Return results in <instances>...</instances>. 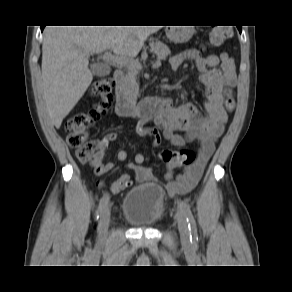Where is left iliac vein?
Masks as SVG:
<instances>
[{
	"instance_id": "4c4485c4",
	"label": "left iliac vein",
	"mask_w": 292,
	"mask_h": 292,
	"mask_svg": "<svg viewBox=\"0 0 292 292\" xmlns=\"http://www.w3.org/2000/svg\"><path fill=\"white\" fill-rule=\"evenodd\" d=\"M176 221L178 224V229H179L181 238L183 240H187L189 238V228H188L186 216L183 213V211L180 210L177 212Z\"/></svg>"
}]
</instances>
